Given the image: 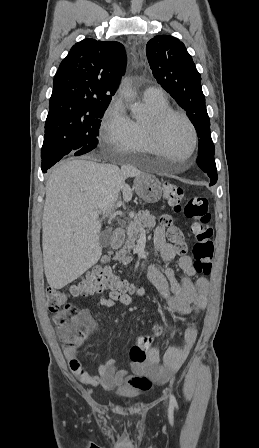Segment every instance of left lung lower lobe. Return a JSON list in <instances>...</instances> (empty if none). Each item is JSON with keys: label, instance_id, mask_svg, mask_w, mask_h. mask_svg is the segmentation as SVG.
Returning a JSON list of instances; mask_svg holds the SVG:
<instances>
[{"label": "left lung lower lobe", "instance_id": "0a47b994", "mask_svg": "<svg viewBox=\"0 0 259 448\" xmlns=\"http://www.w3.org/2000/svg\"><path fill=\"white\" fill-rule=\"evenodd\" d=\"M198 166L208 174L211 179L210 186L214 185L217 181V170L214 160V154H207L205 156L199 157L197 160Z\"/></svg>", "mask_w": 259, "mask_h": 448}]
</instances>
